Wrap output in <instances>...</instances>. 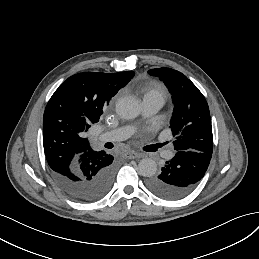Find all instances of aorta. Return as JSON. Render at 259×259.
<instances>
[{"mask_svg":"<svg viewBox=\"0 0 259 259\" xmlns=\"http://www.w3.org/2000/svg\"><path fill=\"white\" fill-rule=\"evenodd\" d=\"M116 113L123 119H134L141 111L138 99L132 96H125L117 100ZM157 172V164L151 158H144L138 164V173L144 177H152Z\"/></svg>","mask_w":259,"mask_h":259,"instance_id":"aorta-1","label":"aorta"}]
</instances>
